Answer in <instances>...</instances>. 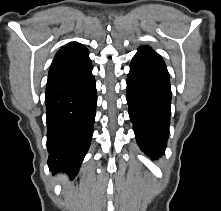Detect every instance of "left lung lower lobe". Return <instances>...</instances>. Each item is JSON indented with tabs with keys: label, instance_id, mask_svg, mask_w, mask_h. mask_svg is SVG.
Returning <instances> with one entry per match:
<instances>
[{
	"label": "left lung lower lobe",
	"instance_id": "1",
	"mask_svg": "<svg viewBox=\"0 0 221 211\" xmlns=\"http://www.w3.org/2000/svg\"><path fill=\"white\" fill-rule=\"evenodd\" d=\"M127 103L136 140L152 159L164 154L170 125L169 73L160 55L139 50L130 64Z\"/></svg>",
	"mask_w": 221,
	"mask_h": 211
}]
</instances>
